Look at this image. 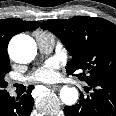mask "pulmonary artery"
<instances>
[{
  "label": "pulmonary artery",
  "instance_id": "pulmonary-artery-1",
  "mask_svg": "<svg viewBox=\"0 0 116 116\" xmlns=\"http://www.w3.org/2000/svg\"><path fill=\"white\" fill-rule=\"evenodd\" d=\"M35 37L38 43V47L42 52L49 53L53 50L55 45V38L38 37L36 35Z\"/></svg>",
  "mask_w": 116,
  "mask_h": 116
}]
</instances>
